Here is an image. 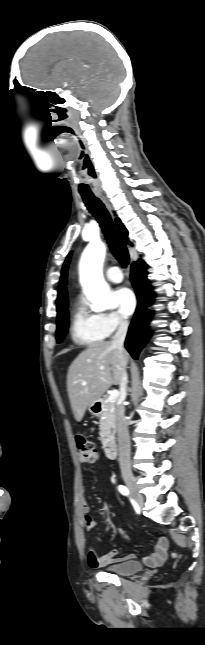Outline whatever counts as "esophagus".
Instances as JSON below:
<instances>
[{"label":"esophagus","mask_w":205,"mask_h":645,"mask_svg":"<svg viewBox=\"0 0 205 645\" xmlns=\"http://www.w3.org/2000/svg\"><path fill=\"white\" fill-rule=\"evenodd\" d=\"M101 198H102L103 202L105 203L106 207L108 208V210L112 213V206L109 203V201L104 196H101Z\"/></svg>","instance_id":"1"}]
</instances>
